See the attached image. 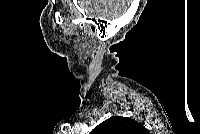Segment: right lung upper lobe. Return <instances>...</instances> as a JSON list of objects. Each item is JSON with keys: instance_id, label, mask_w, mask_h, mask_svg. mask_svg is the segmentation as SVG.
Segmentation results:
<instances>
[{"instance_id": "cb5924a9", "label": "right lung upper lobe", "mask_w": 200, "mask_h": 134, "mask_svg": "<svg viewBox=\"0 0 200 134\" xmlns=\"http://www.w3.org/2000/svg\"><path fill=\"white\" fill-rule=\"evenodd\" d=\"M145 127L131 118L111 117L96 126L91 134H146Z\"/></svg>"}]
</instances>
